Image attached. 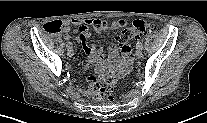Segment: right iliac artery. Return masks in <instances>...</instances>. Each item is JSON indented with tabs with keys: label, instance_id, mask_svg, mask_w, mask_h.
<instances>
[{
	"label": "right iliac artery",
	"instance_id": "obj_1",
	"mask_svg": "<svg viewBox=\"0 0 207 123\" xmlns=\"http://www.w3.org/2000/svg\"><path fill=\"white\" fill-rule=\"evenodd\" d=\"M67 48H72V44L70 42L67 43L66 45Z\"/></svg>",
	"mask_w": 207,
	"mask_h": 123
}]
</instances>
